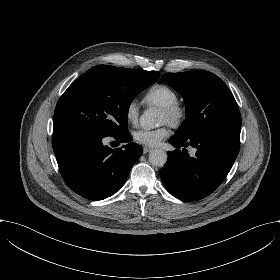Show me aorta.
<instances>
[{
    "instance_id": "aorta-1",
    "label": "aorta",
    "mask_w": 280,
    "mask_h": 280,
    "mask_svg": "<svg viewBox=\"0 0 280 280\" xmlns=\"http://www.w3.org/2000/svg\"><path fill=\"white\" fill-rule=\"evenodd\" d=\"M160 112L157 108H150L140 116V125L145 130L159 126ZM149 162L156 167H163L167 162V153L162 149H154L149 154Z\"/></svg>"
}]
</instances>
